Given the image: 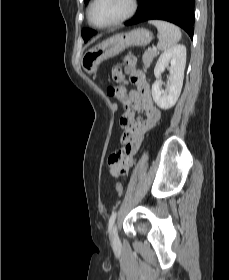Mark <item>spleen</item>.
I'll return each instance as SVG.
<instances>
[{"label": "spleen", "mask_w": 229, "mask_h": 280, "mask_svg": "<svg viewBox=\"0 0 229 280\" xmlns=\"http://www.w3.org/2000/svg\"><path fill=\"white\" fill-rule=\"evenodd\" d=\"M150 24L156 26L159 33L157 47L161 51H166L174 47L181 39L179 28L169 22L161 20H150Z\"/></svg>", "instance_id": "obj_1"}]
</instances>
